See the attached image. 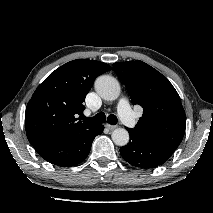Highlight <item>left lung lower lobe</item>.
<instances>
[{"mask_svg": "<svg viewBox=\"0 0 213 213\" xmlns=\"http://www.w3.org/2000/svg\"><path fill=\"white\" fill-rule=\"evenodd\" d=\"M130 141L120 148L121 156L131 165L139 168H155L166 162L175 150L150 143L139 134L127 129Z\"/></svg>", "mask_w": 213, "mask_h": 213, "instance_id": "obj_1", "label": "left lung lower lobe"}]
</instances>
